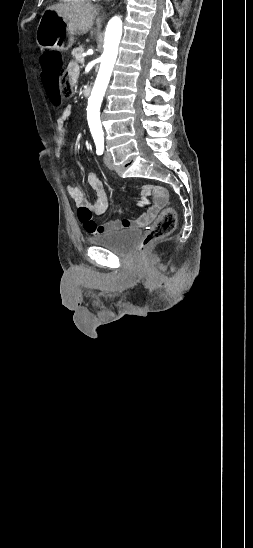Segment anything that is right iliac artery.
Wrapping results in <instances>:
<instances>
[{
    "mask_svg": "<svg viewBox=\"0 0 253 548\" xmlns=\"http://www.w3.org/2000/svg\"><path fill=\"white\" fill-rule=\"evenodd\" d=\"M95 144H96V153L98 155L103 154V152H104V143H103V141H97V142H95Z\"/></svg>",
    "mask_w": 253,
    "mask_h": 548,
    "instance_id": "1",
    "label": "right iliac artery"
}]
</instances>
